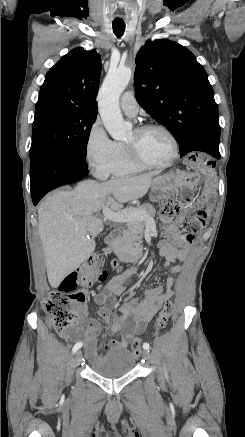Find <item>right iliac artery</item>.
<instances>
[{
    "mask_svg": "<svg viewBox=\"0 0 245 437\" xmlns=\"http://www.w3.org/2000/svg\"><path fill=\"white\" fill-rule=\"evenodd\" d=\"M83 343L82 342H78L74 345L72 352L75 353L78 349H80L82 347Z\"/></svg>",
    "mask_w": 245,
    "mask_h": 437,
    "instance_id": "obj_1",
    "label": "right iliac artery"
}]
</instances>
